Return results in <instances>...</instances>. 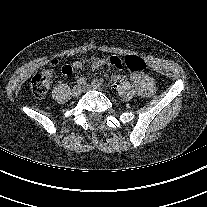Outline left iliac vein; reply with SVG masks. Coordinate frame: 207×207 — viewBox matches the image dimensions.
<instances>
[{"label":"left iliac vein","mask_w":207,"mask_h":207,"mask_svg":"<svg viewBox=\"0 0 207 207\" xmlns=\"http://www.w3.org/2000/svg\"><path fill=\"white\" fill-rule=\"evenodd\" d=\"M90 89H95V90H98V91H102L101 87H98V86H95V85H85V86H83V91L90 90Z\"/></svg>","instance_id":"1"}]
</instances>
